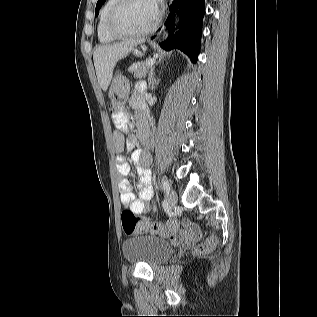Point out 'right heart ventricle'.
Segmentation results:
<instances>
[{
	"label": "right heart ventricle",
	"mask_w": 317,
	"mask_h": 317,
	"mask_svg": "<svg viewBox=\"0 0 317 317\" xmlns=\"http://www.w3.org/2000/svg\"><path fill=\"white\" fill-rule=\"evenodd\" d=\"M115 2L116 0H106V2L104 3L100 11L99 21L97 26V34H98L99 41L102 43H111L116 39L107 30V18Z\"/></svg>",
	"instance_id": "obj_1"
}]
</instances>
